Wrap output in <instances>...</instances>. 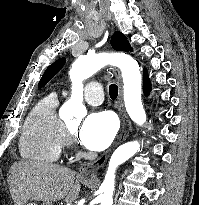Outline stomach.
Returning a JSON list of instances; mask_svg holds the SVG:
<instances>
[{"mask_svg": "<svg viewBox=\"0 0 199 205\" xmlns=\"http://www.w3.org/2000/svg\"><path fill=\"white\" fill-rule=\"evenodd\" d=\"M30 205H36V204H30ZM42 205H52V204L43 203Z\"/></svg>", "mask_w": 199, "mask_h": 205, "instance_id": "obj_1", "label": "stomach"}]
</instances>
